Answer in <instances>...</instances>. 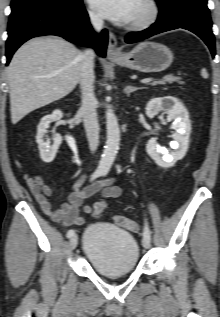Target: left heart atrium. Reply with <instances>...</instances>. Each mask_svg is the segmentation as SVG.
I'll list each match as a JSON object with an SVG mask.
<instances>
[{"label":"left heart atrium","instance_id":"left-heart-atrium-1","mask_svg":"<svg viewBox=\"0 0 220 317\" xmlns=\"http://www.w3.org/2000/svg\"><path fill=\"white\" fill-rule=\"evenodd\" d=\"M137 0H90L102 16L119 23L130 22Z\"/></svg>","mask_w":220,"mask_h":317}]
</instances>
